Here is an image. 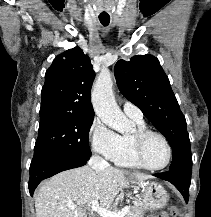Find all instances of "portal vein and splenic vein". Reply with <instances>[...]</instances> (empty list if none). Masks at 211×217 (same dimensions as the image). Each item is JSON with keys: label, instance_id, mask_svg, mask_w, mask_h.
<instances>
[{"label": "portal vein and splenic vein", "instance_id": "obj_1", "mask_svg": "<svg viewBox=\"0 0 211 217\" xmlns=\"http://www.w3.org/2000/svg\"><path fill=\"white\" fill-rule=\"evenodd\" d=\"M72 209H75V206H70ZM91 210L97 212L102 217H124L130 210V206H125L120 212L113 214L106 209L99 206L98 201H93L91 204Z\"/></svg>", "mask_w": 211, "mask_h": 217}]
</instances>
